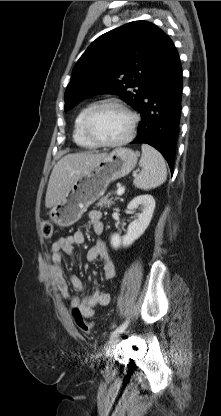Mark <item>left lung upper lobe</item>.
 Masks as SVG:
<instances>
[{
    "mask_svg": "<svg viewBox=\"0 0 221 416\" xmlns=\"http://www.w3.org/2000/svg\"><path fill=\"white\" fill-rule=\"evenodd\" d=\"M167 36L146 21H133L98 37L77 61L65 110L97 94H116L138 110Z\"/></svg>",
    "mask_w": 221,
    "mask_h": 416,
    "instance_id": "left-lung-upper-lobe-1",
    "label": "left lung upper lobe"
}]
</instances>
